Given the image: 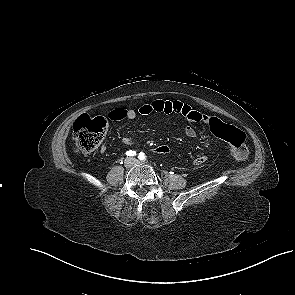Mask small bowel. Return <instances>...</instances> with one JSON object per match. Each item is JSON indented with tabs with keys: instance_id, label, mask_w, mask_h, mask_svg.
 <instances>
[{
	"instance_id": "c3829d8e",
	"label": "small bowel",
	"mask_w": 295,
	"mask_h": 295,
	"mask_svg": "<svg viewBox=\"0 0 295 295\" xmlns=\"http://www.w3.org/2000/svg\"><path fill=\"white\" fill-rule=\"evenodd\" d=\"M153 112L164 114H180L189 122L207 125L211 132L215 135L216 133L214 130V123H223L218 118L201 113L184 102L178 100L171 101L162 99L153 100L150 103L143 104L138 108L137 111L134 109H112L108 112V118L113 121L124 119L133 120L136 118L137 114L148 115ZM185 135L189 138H195L197 136V131L192 125H188L185 128ZM123 142L129 145L134 142V139L131 137H126L123 139ZM100 150L101 152H105L106 147L102 146ZM206 161L207 157L205 155H199L193 160V165L201 166Z\"/></svg>"
}]
</instances>
